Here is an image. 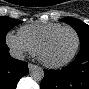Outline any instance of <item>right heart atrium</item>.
<instances>
[{
	"label": "right heart atrium",
	"mask_w": 89,
	"mask_h": 89,
	"mask_svg": "<svg viewBox=\"0 0 89 89\" xmlns=\"http://www.w3.org/2000/svg\"><path fill=\"white\" fill-rule=\"evenodd\" d=\"M6 44L12 52L22 55L31 52L30 47L20 38L19 35L9 32L6 35Z\"/></svg>",
	"instance_id": "d8ad5b80"
}]
</instances>
